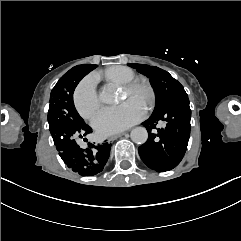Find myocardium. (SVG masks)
Returning <instances> with one entry per match:
<instances>
[{
  "mask_svg": "<svg viewBox=\"0 0 241 241\" xmlns=\"http://www.w3.org/2000/svg\"><path fill=\"white\" fill-rule=\"evenodd\" d=\"M142 76H143L142 73H140V72L137 73L136 78H132V79L128 80L126 83L123 84L124 88H126V89L135 88L136 85H137V81L138 82L141 81Z\"/></svg>",
  "mask_w": 241,
  "mask_h": 241,
  "instance_id": "obj_1",
  "label": "myocardium"
}]
</instances>
